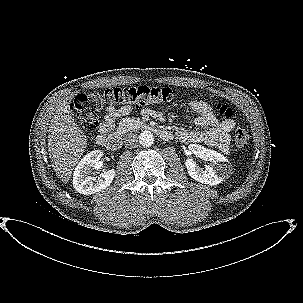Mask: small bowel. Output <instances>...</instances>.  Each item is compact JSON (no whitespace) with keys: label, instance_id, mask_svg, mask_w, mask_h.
<instances>
[{"label":"small bowel","instance_id":"small-bowel-1","mask_svg":"<svg viewBox=\"0 0 303 303\" xmlns=\"http://www.w3.org/2000/svg\"><path fill=\"white\" fill-rule=\"evenodd\" d=\"M187 105L197 113L194 117L195 124L201 128H205L206 130H178L176 132L178 140L184 143L203 142L208 146L219 148L222 152H228L230 141L229 132L235 127V121L233 119L219 121L213 113L210 105L205 101L191 100L187 102ZM130 111L131 108L128 106L108 108L99 127V137H103L108 134L112 130L115 120L120 116L128 114ZM142 112L145 115L163 119L160 113L153 110L144 109Z\"/></svg>","mask_w":303,"mask_h":303}]
</instances>
